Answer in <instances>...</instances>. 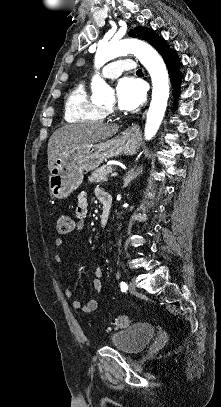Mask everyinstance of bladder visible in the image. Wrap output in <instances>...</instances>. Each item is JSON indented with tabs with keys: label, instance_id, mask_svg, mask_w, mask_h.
Segmentation results:
<instances>
[{
	"label": "bladder",
	"instance_id": "obj_1",
	"mask_svg": "<svg viewBox=\"0 0 221 407\" xmlns=\"http://www.w3.org/2000/svg\"><path fill=\"white\" fill-rule=\"evenodd\" d=\"M156 327L152 322H137L110 336L112 343L126 354L144 350L152 340Z\"/></svg>",
	"mask_w": 221,
	"mask_h": 407
}]
</instances>
